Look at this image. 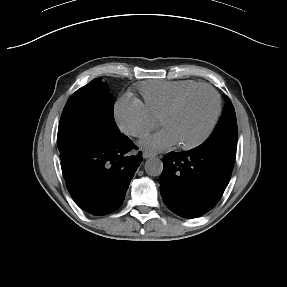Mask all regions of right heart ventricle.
<instances>
[{
    "label": "right heart ventricle",
    "mask_w": 287,
    "mask_h": 287,
    "mask_svg": "<svg viewBox=\"0 0 287 287\" xmlns=\"http://www.w3.org/2000/svg\"><path fill=\"white\" fill-rule=\"evenodd\" d=\"M200 85L192 80L152 81L140 87L145 105L155 119H161L166 110L189 89Z\"/></svg>",
    "instance_id": "obj_1"
}]
</instances>
